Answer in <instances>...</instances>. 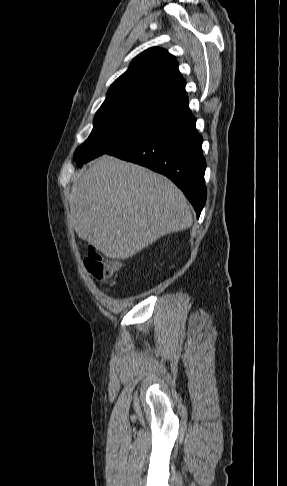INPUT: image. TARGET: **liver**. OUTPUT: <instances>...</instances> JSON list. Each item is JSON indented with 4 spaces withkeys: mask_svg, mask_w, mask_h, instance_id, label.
<instances>
[{
    "mask_svg": "<svg viewBox=\"0 0 287 486\" xmlns=\"http://www.w3.org/2000/svg\"><path fill=\"white\" fill-rule=\"evenodd\" d=\"M70 209L78 236L117 260L193 221L186 197L168 178L109 155L76 174Z\"/></svg>",
    "mask_w": 287,
    "mask_h": 486,
    "instance_id": "liver-1",
    "label": "liver"
}]
</instances>
